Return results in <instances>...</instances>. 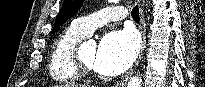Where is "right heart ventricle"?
<instances>
[{"label": "right heart ventricle", "instance_id": "right-heart-ventricle-1", "mask_svg": "<svg viewBox=\"0 0 205 87\" xmlns=\"http://www.w3.org/2000/svg\"><path fill=\"white\" fill-rule=\"evenodd\" d=\"M85 36L70 26L54 41L49 58V75L58 84H72L80 79L73 61V52Z\"/></svg>", "mask_w": 205, "mask_h": 87}]
</instances>
